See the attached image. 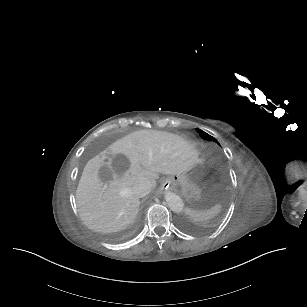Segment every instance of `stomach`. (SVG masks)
Masks as SVG:
<instances>
[{"label":"stomach","instance_id":"0dacf381","mask_svg":"<svg viewBox=\"0 0 307 307\" xmlns=\"http://www.w3.org/2000/svg\"><path fill=\"white\" fill-rule=\"evenodd\" d=\"M197 166L198 164L189 171L169 176L166 183L172 189H179L184 194L193 192L197 187L196 181L199 175V167Z\"/></svg>","mask_w":307,"mask_h":307}]
</instances>
